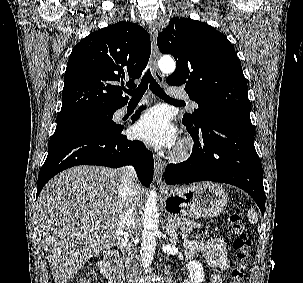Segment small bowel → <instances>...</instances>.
Masks as SVG:
<instances>
[{
    "label": "small bowel",
    "mask_w": 303,
    "mask_h": 283,
    "mask_svg": "<svg viewBox=\"0 0 303 283\" xmlns=\"http://www.w3.org/2000/svg\"><path fill=\"white\" fill-rule=\"evenodd\" d=\"M186 246L190 257L202 256L209 265L222 270L228 269L229 259L223 240L214 238L208 242L188 241ZM209 283H223V279L220 275L215 274L210 277Z\"/></svg>",
    "instance_id": "c3829d8e"
}]
</instances>
